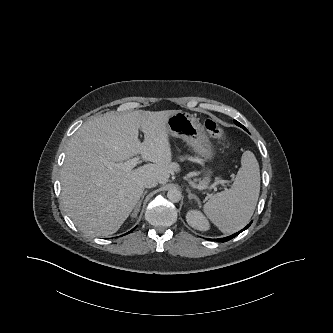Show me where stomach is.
Wrapping results in <instances>:
<instances>
[{
  "label": "stomach",
  "mask_w": 333,
  "mask_h": 333,
  "mask_svg": "<svg viewBox=\"0 0 333 333\" xmlns=\"http://www.w3.org/2000/svg\"><path fill=\"white\" fill-rule=\"evenodd\" d=\"M167 127L171 136L184 140L204 161L213 159V145L198 118L190 113L177 111L168 118ZM211 174V170L208 169L204 179L209 181Z\"/></svg>",
  "instance_id": "1"
}]
</instances>
